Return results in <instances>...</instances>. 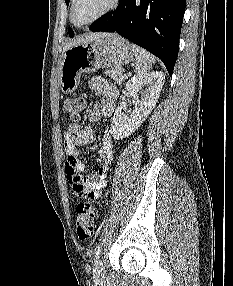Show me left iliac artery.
I'll list each match as a JSON object with an SVG mask.
<instances>
[{"mask_svg": "<svg viewBox=\"0 0 233 286\" xmlns=\"http://www.w3.org/2000/svg\"><path fill=\"white\" fill-rule=\"evenodd\" d=\"M101 250V244H97L94 248V257L97 258Z\"/></svg>", "mask_w": 233, "mask_h": 286, "instance_id": "left-iliac-artery-1", "label": "left iliac artery"}]
</instances>
